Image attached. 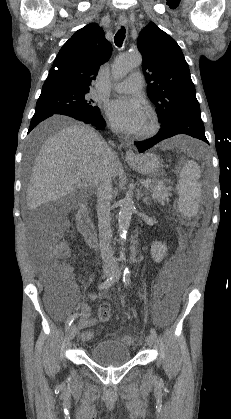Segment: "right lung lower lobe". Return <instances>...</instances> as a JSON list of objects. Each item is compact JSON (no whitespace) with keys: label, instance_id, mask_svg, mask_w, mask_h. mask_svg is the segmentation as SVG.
I'll list each match as a JSON object with an SVG mask.
<instances>
[{"label":"right lung lower lobe","instance_id":"1","mask_svg":"<svg viewBox=\"0 0 231 419\" xmlns=\"http://www.w3.org/2000/svg\"><path fill=\"white\" fill-rule=\"evenodd\" d=\"M56 114H52L46 111H39L36 112L31 120V124L29 127V131L28 133L41 121L45 120L48 117L54 116ZM77 120L83 121L87 124L93 125L95 127H97L98 129H104L105 127V121L103 119V117L98 114V115H94L93 117L90 118H75Z\"/></svg>","mask_w":231,"mask_h":419}]
</instances>
